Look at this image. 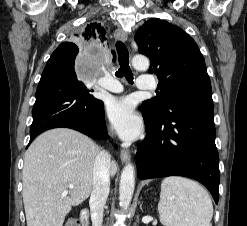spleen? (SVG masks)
I'll return each instance as SVG.
<instances>
[{
  "mask_svg": "<svg viewBox=\"0 0 247 226\" xmlns=\"http://www.w3.org/2000/svg\"><path fill=\"white\" fill-rule=\"evenodd\" d=\"M159 213L166 226H211L213 205L198 183L173 176L162 181Z\"/></svg>",
  "mask_w": 247,
  "mask_h": 226,
  "instance_id": "spleen-1",
  "label": "spleen"
}]
</instances>
